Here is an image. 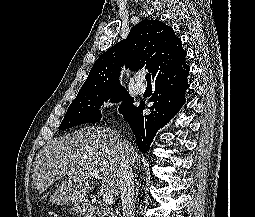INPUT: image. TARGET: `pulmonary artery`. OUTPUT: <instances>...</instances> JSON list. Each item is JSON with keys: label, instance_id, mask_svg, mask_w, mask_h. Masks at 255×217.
Returning a JSON list of instances; mask_svg holds the SVG:
<instances>
[{"label": "pulmonary artery", "instance_id": "1", "mask_svg": "<svg viewBox=\"0 0 255 217\" xmlns=\"http://www.w3.org/2000/svg\"><path fill=\"white\" fill-rule=\"evenodd\" d=\"M144 79V76L143 75H139L137 78H136V82H135V93L137 95H142L144 92H145V85H143L141 82L142 80Z\"/></svg>", "mask_w": 255, "mask_h": 217}]
</instances>
